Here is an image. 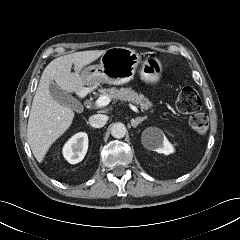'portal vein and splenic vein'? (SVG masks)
<instances>
[{"instance_id":"portal-vein-and-splenic-vein-1","label":"portal vein and splenic vein","mask_w":240,"mask_h":240,"mask_svg":"<svg viewBox=\"0 0 240 240\" xmlns=\"http://www.w3.org/2000/svg\"><path fill=\"white\" fill-rule=\"evenodd\" d=\"M110 101L111 99L108 96L102 95L96 100L95 107L101 108V107L107 106L110 103ZM129 106L134 112L139 113V110L137 109V107H135L132 104H130Z\"/></svg>"}]
</instances>
